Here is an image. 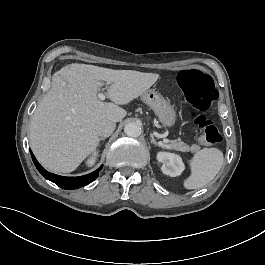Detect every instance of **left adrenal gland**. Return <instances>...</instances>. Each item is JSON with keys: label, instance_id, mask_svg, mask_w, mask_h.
<instances>
[{"label": "left adrenal gland", "instance_id": "1", "mask_svg": "<svg viewBox=\"0 0 265 265\" xmlns=\"http://www.w3.org/2000/svg\"><path fill=\"white\" fill-rule=\"evenodd\" d=\"M150 137H151V139H152L151 144H153V145H155V146H158V147H161V148H164L163 146L159 145V144L155 141L154 136H153L152 134H150Z\"/></svg>", "mask_w": 265, "mask_h": 265}]
</instances>
